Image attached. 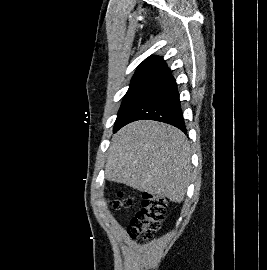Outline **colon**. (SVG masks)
Here are the masks:
<instances>
[{"label": "colon", "mask_w": 267, "mask_h": 270, "mask_svg": "<svg viewBox=\"0 0 267 270\" xmlns=\"http://www.w3.org/2000/svg\"><path fill=\"white\" fill-rule=\"evenodd\" d=\"M114 209L129 208L132 205L130 197L119 195L110 202ZM166 201L162 196L147 194L143 197L142 208L128 225V234L134 238L146 240L151 238L161 227L165 217Z\"/></svg>", "instance_id": "obj_1"}]
</instances>
